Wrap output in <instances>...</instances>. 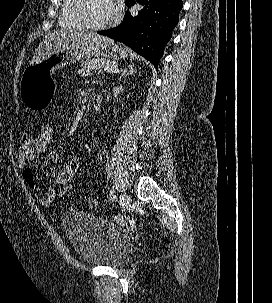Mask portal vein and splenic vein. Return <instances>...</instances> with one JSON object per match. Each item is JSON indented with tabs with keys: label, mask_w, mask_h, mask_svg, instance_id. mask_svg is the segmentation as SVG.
I'll use <instances>...</instances> for the list:
<instances>
[{
	"label": "portal vein and splenic vein",
	"mask_w": 272,
	"mask_h": 303,
	"mask_svg": "<svg viewBox=\"0 0 272 303\" xmlns=\"http://www.w3.org/2000/svg\"><path fill=\"white\" fill-rule=\"evenodd\" d=\"M104 70L107 71V72H110V73H117V72H119V69L117 67H109V66H107V67H105Z\"/></svg>",
	"instance_id": "portal-vein-and-splenic-vein-1"
}]
</instances>
